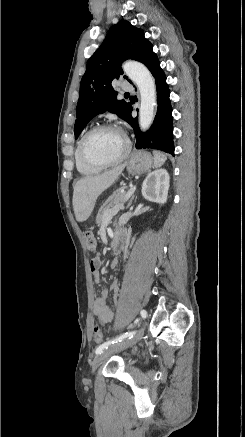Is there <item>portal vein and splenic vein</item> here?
Listing matches in <instances>:
<instances>
[{
    "label": "portal vein and splenic vein",
    "instance_id": "obj_1",
    "mask_svg": "<svg viewBox=\"0 0 245 437\" xmlns=\"http://www.w3.org/2000/svg\"><path fill=\"white\" fill-rule=\"evenodd\" d=\"M136 187L133 185H130V189L127 191L126 194V200H128L135 192ZM124 207L123 205H117L115 206L112 210H110L107 214H106V218H112L114 215H116L120 210H122Z\"/></svg>",
    "mask_w": 245,
    "mask_h": 437
}]
</instances>
